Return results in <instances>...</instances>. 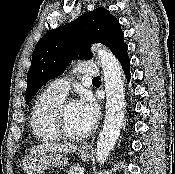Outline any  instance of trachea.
Instances as JSON below:
<instances>
[{
  "instance_id": "1",
  "label": "trachea",
  "mask_w": 175,
  "mask_h": 174,
  "mask_svg": "<svg viewBox=\"0 0 175 174\" xmlns=\"http://www.w3.org/2000/svg\"><path fill=\"white\" fill-rule=\"evenodd\" d=\"M101 78L100 77H94L93 81H99Z\"/></svg>"
}]
</instances>
